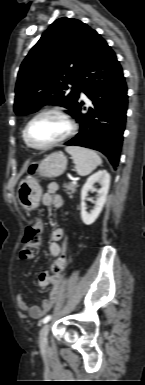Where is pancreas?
Here are the masks:
<instances>
[{"instance_id":"obj_1","label":"pancreas","mask_w":145,"mask_h":385,"mask_svg":"<svg viewBox=\"0 0 145 385\" xmlns=\"http://www.w3.org/2000/svg\"><path fill=\"white\" fill-rule=\"evenodd\" d=\"M77 187L78 186L73 183L64 184L65 191L70 197L76 192Z\"/></svg>"}]
</instances>
